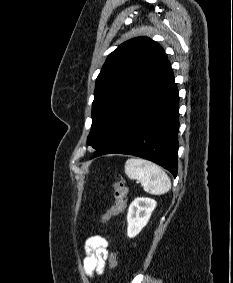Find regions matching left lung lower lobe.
I'll return each instance as SVG.
<instances>
[{"instance_id":"obj_1","label":"left lung lower lobe","mask_w":233,"mask_h":283,"mask_svg":"<svg viewBox=\"0 0 233 283\" xmlns=\"http://www.w3.org/2000/svg\"><path fill=\"white\" fill-rule=\"evenodd\" d=\"M179 96L166 60L92 158L121 153L151 160L177 176Z\"/></svg>"}]
</instances>
